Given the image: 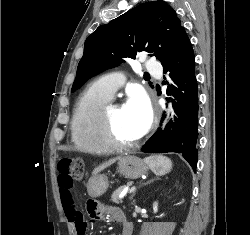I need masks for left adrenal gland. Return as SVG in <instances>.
Segmentation results:
<instances>
[{"label":"left adrenal gland","mask_w":250,"mask_h":235,"mask_svg":"<svg viewBox=\"0 0 250 235\" xmlns=\"http://www.w3.org/2000/svg\"><path fill=\"white\" fill-rule=\"evenodd\" d=\"M154 180H157V178H154V179H152V180L148 181V182H147V183H145V184H149V183L153 182ZM134 195H135V192L132 194V196H131V198H130V199H133Z\"/></svg>","instance_id":"a2214340"}]
</instances>
